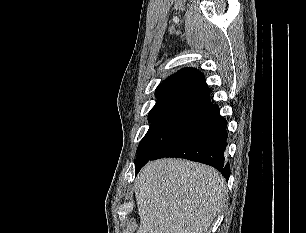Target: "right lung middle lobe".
<instances>
[{"instance_id":"dd1d6c3e","label":"right lung middle lobe","mask_w":306,"mask_h":233,"mask_svg":"<svg viewBox=\"0 0 306 233\" xmlns=\"http://www.w3.org/2000/svg\"><path fill=\"white\" fill-rule=\"evenodd\" d=\"M203 110V107L185 102L156 103L149 112L150 128L137 148L135 169L147 163Z\"/></svg>"}]
</instances>
